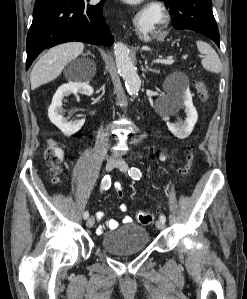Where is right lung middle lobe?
Returning <instances> with one entry per match:
<instances>
[{
	"label": "right lung middle lobe",
	"instance_id": "obj_1",
	"mask_svg": "<svg viewBox=\"0 0 247 299\" xmlns=\"http://www.w3.org/2000/svg\"><path fill=\"white\" fill-rule=\"evenodd\" d=\"M45 1H47V0H36L35 5L41 4V3L45 2Z\"/></svg>",
	"mask_w": 247,
	"mask_h": 299
}]
</instances>
